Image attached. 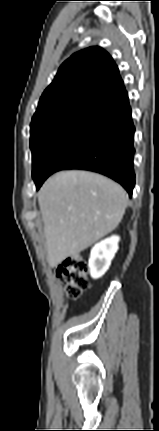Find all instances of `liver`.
<instances>
[{
	"instance_id": "liver-1",
	"label": "liver",
	"mask_w": 159,
	"mask_h": 431,
	"mask_svg": "<svg viewBox=\"0 0 159 431\" xmlns=\"http://www.w3.org/2000/svg\"><path fill=\"white\" fill-rule=\"evenodd\" d=\"M47 261L58 266L112 232L121 222L127 194L116 182L87 171H62L38 192Z\"/></svg>"
}]
</instances>
